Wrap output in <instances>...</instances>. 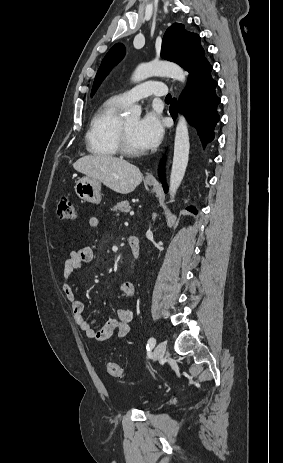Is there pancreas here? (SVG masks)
Masks as SVG:
<instances>
[{
    "mask_svg": "<svg viewBox=\"0 0 283 463\" xmlns=\"http://www.w3.org/2000/svg\"><path fill=\"white\" fill-rule=\"evenodd\" d=\"M130 210H131V206H130L128 201H121V202L117 203V205L112 208V211L117 212L118 215H119L120 212L127 213Z\"/></svg>",
    "mask_w": 283,
    "mask_h": 463,
    "instance_id": "cf45deb5",
    "label": "pancreas"
}]
</instances>
